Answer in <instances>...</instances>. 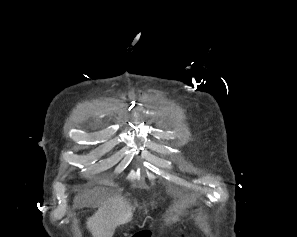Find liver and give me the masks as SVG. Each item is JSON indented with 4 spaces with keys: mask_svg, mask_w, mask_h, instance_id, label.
I'll return each mask as SVG.
<instances>
[{
    "mask_svg": "<svg viewBox=\"0 0 297 237\" xmlns=\"http://www.w3.org/2000/svg\"><path fill=\"white\" fill-rule=\"evenodd\" d=\"M133 211L134 207L123 196H111L88 218L87 228L93 237H112L118 226L132 220Z\"/></svg>",
    "mask_w": 297,
    "mask_h": 237,
    "instance_id": "1",
    "label": "liver"
}]
</instances>
